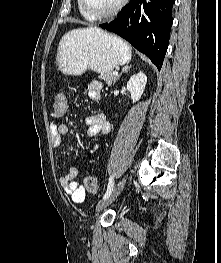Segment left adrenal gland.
Here are the masks:
<instances>
[{
	"label": "left adrenal gland",
	"mask_w": 221,
	"mask_h": 263,
	"mask_svg": "<svg viewBox=\"0 0 221 263\" xmlns=\"http://www.w3.org/2000/svg\"><path fill=\"white\" fill-rule=\"evenodd\" d=\"M129 69H130V66H126V67H124V68L122 69V72H121L120 75L118 76V78L121 76L122 73H124V72H128Z\"/></svg>",
	"instance_id": "1"
}]
</instances>
